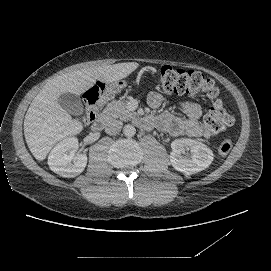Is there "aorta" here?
Wrapping results in <instances>:
<instances>
[{
  "mask_svg": "<svg viewBox=\"0 0 271 271\" xmlns=\"http://www.w3.org/2000/svg\"><path fill=\"white\" fill-rule=\"evenodd\" d=\"M135 127L130 125V124H127V125H124L123 127V130H122V133L126 136V137H132L135 135Z\"/></svg>",
  "mask_w": 271,
  "mask_h": 271,
  "instance_id": "obj_1",
  "label": "aorta"
}]
</instances>
